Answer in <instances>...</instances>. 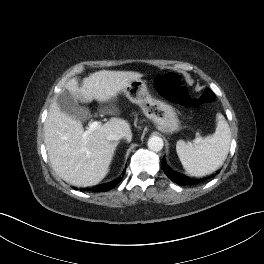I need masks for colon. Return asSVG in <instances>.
<instances>
[{
    "mask_svg": "<svg viewBox=\"0 0 264 264\" xmlns=\"http://www.w3.org/2000/svg\"><path fill=\"white\" fill-rule=\"evenodd\" d=\"M156 87L163 97L186 107L208 104L215 100L214 93L209 89H205L195 96L191 95L182 84L180 75L173 72L158 76Z\"/></svg>",
    "mask_w": 264,
    "mask_h": 264,
    "instance_id": "colon-1",
    "label": "colon"
}]
</instances>
